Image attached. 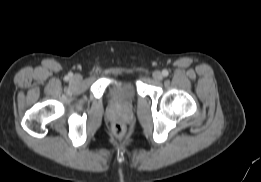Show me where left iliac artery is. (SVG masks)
Listing matches in <instances>:
<instances>
[{
    "mask_svg": "<svg viewBox=\"0 0 261 182\" xmlns=\"http://www.w3.org/2000/svg\"><path fill=\"white\" fill-rule=\"evenodd\" d=\"M163 76H168L169 72L167 70L162 71Z\"/></svg>",
    "mask_w": 261,
    "mask_h": 182,
    "instance_id": "1",
    "label": "left iliac artery"
}]
</instances>
